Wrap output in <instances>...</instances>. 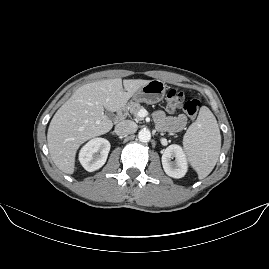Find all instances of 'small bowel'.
I'll use <instances>...</instances> for the list:
<instances>
[{
	"mask_svg": "<svg viewBox=\"0 0 269 269\" xmlns=\"http://www.w3.org/2000/svg\"><path fill=\"white\" fill-rule=\"evenodd\" d=\"M154 117L160 129L172 132L181 131L187 123L186 117L182 114L175 117H169L162 111H156Z\"/></svg>",
	"mask_w": 269,
	"mask_h": 269,
	"instance_id": "small-bowel-1",
	"label": "small bowel"
}]
</instances>
